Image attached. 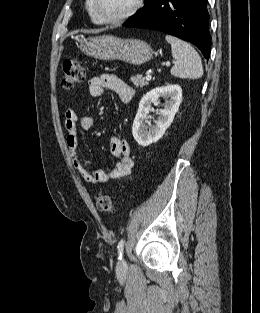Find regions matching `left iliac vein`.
Masks as SVG:
<instances>
[{
	"mask_svg": "<svg viewBox=\"0 0 260 313\" xmlns=\"http://www.w3.org/2000/svg\"><path fill=\"white\" fill-rule=\"evenodd\" d=\"M126 266V262L124 259H120L117 264L118 269H123Z\"/></svg>",
	"mask_w": 260,
	"mask_h": 313,
	"instance_id": "left-iliac-vein-1",
	"label": "left iliac vein"
}]
</instances>
